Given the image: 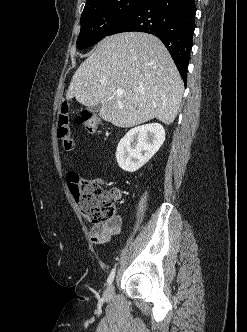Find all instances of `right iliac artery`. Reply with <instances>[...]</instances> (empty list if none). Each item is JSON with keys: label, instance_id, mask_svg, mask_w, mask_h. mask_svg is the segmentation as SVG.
<instances>
[{"label": "right iliac artery", "instance_id": "82829eb1", "mask_svg": "<svg viewBox=\"0 0 247 332\" xmlns=\"http://www.w3.org/2000/svg\"><path fill=\"white\" fill-rule=\"evenodd\" d=\"M115 272H116V267H114V268L112 269V271H111V273H110V275H109V277H108V279H107V284H108V285H110V284L113 282L114 277H115Z\"/></svg>", "mask_w": 247, "mask_h": 332}]
</instances>
